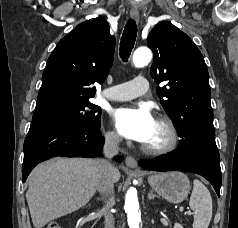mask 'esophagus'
<instances>
[{"instance_id":"esophagus-1","label":"esophagus","mask_w":238,"mask_h":228,"mask_svg":"<svg viewBox=\"0 0 238 228\" xmlns=\"http://www.w3.org/2000/svg\"><path fill=\"white\" fill-rule=\"evenodd\" d=\"M130 16L136 22L139 21L140 16H139V10L137 9V7H134L130 10ZM126 165L130 168H137L138 167L137 161L132 156H127L126 157Z\"/></svg>"}]
</instances>
